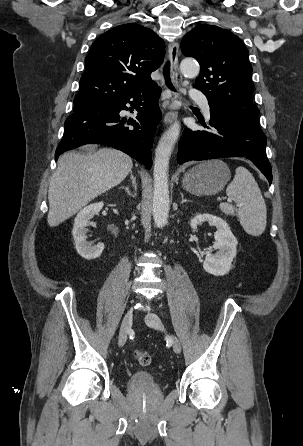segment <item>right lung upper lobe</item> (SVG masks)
I'll list each match as a JSON object with an SVG mask.
<instances>
[{
    "label": "right lung upper lobe",
    "mask_w": 303,
    "mask_h": 446,
    "mask_svg": "<svg viewBox=\"0 0 303 446\" xmlns=\"http://www.w3.org/2000/svg\"><path fill=\"white\" fill-rule=\"evenodd\" d=\"M164 48L155 32L139 24L128 23L105 32L85 59L75 98L94 106L156 86L150 74L163 62Z\"/></svg>",
    "instance_id": "1"
}]
</instances>
